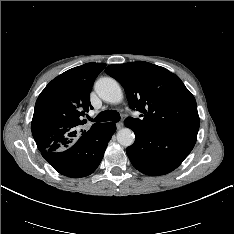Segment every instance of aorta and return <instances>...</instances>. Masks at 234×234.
Returning <instances> with one entry per match:
<instances>
[{"mask_svg": "<svg viewBox=\"0 0 234 234\" xmlns=\"http://www.w3.org/2000/svg\"><path fill=\"white\" fill-rule=\"evenodd\" d=\"M95 91L102 100L112 104L120 103L123 99L122 89L113 78L104 77L99 79L95 83ZM134 139V133L129 128H122L117 132V141L122 146H131Z\"/></svg>", "mask_w": 234, "mask_h": 234, "instance_id": "1", "label": "aorta"}]
</instances>
